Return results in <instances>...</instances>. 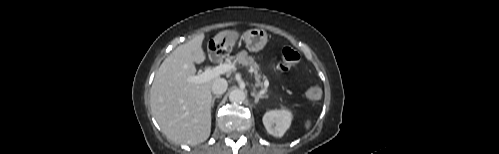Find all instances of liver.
I'll use <instances>...</instances> for the list:
<instances>
[{"instance_id":"1","label":"liver","mask_w":499,"mask_h":154,"mask_svg":"<svg viewBox=\"0 0 499 154\" xmlns=\"http://www.w3.org/2000/svg\"><path fill=\"white\" fill-rule=\"evenodd\" d=\"M204 37L197 35L178 46L160 65L150 91L153 116L166 137L179 144L202 143L211 132V87L219 77L204 83L186 81L196 74L195 64L206 60Z\"/></svg>"}]
</instances>
